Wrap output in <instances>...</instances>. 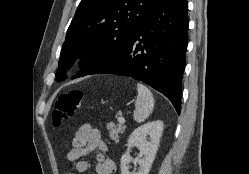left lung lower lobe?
Listing matches in <instances>:
<instances>
[{
	"mask_svg": "<svg viewBox=\"0 0 249 174\" xmlns=\"http://www.w3.org/2000/svg\"><path fill=\"white\" fill-rule=\"evenodd\" d=\"M186 0H157L121 57L96 73L128 76L164 94L180 114L188 42Z\"/></svg>",
	"mask_w": 249,
	"mask_h": 174,
	"instance_id": "1",
	"label": "left lung lower lobe"
}]
</instances>
